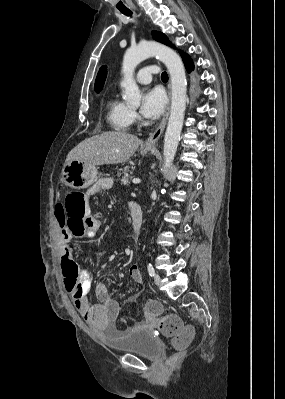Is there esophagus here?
<instances>
[{
  "instance_id": "1",
  "label": "esophagus",
  "mask_w": 285,
  "mask_h": 399,
  "mask_svg": "<svg viewBox=\"0 0 285 399\" xmlns=\"http://www.w3.org/2000/svg\"><path fill=\"white\" fill-rule=\"evenodd\" d=\"M168 96H169V100H171V85H170V83L168 85ZM169 110H170V102L167 106L165 115H164L162 121L160 122L159 126L154 131V133L151 134V136L144 143V145H143L144 148L153 147L155 145V143L157 142V140L159 139V137L161 136V134L163 133L166 123H167V120H168Z\"/></svg>"
}]
</instances>
